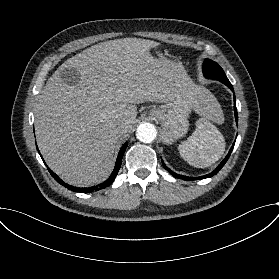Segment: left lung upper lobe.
Wrapping results in <instances>:
<instances>
[{"label":"left lung upper lobe","instance_id":"5c2ea615","mask_svg":"<svg viewBox=\"0 0 279 279\" xmlns=\"http://www.w3.org/2000/svg\"><path fill=\"white\" fill-rule=\"evenodd\" d=\"M203 74L206 78L218 80L227 86L231 85L223 69L211 59H205L203 64Z\"/></svg>","mask_w":279,"mask_h":279}]
</instances>
